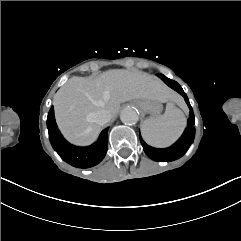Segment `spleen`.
<instances>
[{"instance_id": "3e777b00", "label": "spleen", "mask_w": 241, "mask_h": 241, "mask_svg": "<svg viewBox=\"0 0 241 241\" xmlns=\"http://www.w3.org/2000/svg\"><path fill=\"white\" fill-rule=\"evenodd\" d=\"M184 126L183 112L168 104L163 115L151 116L143 122L142 134L149 144L164 147L173 143L180 136Z\"/></svg>"}]
</instances>
